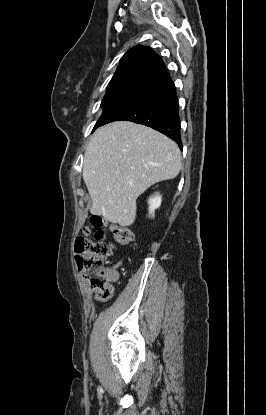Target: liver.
Wrapping results in <instances>:
<instances>
[{
    "mask_svg": "<svg viewBox=\"0 0 266 415\" xmlns=\"http://www.w3.org/2000/svg\"><path fill=\"white\" fill-rule=\"evenodd\" d=\"M181 168V151L165 135L129 121L100 127L89 141L83 164L90 212L130 226L137 197L151 185L175 178Z\"/></svg>",
    "mask_w": 266,
    "mask_h": 415,
    "instance_id": "liver-1",
    "label": "liver"
}]
</instances>
